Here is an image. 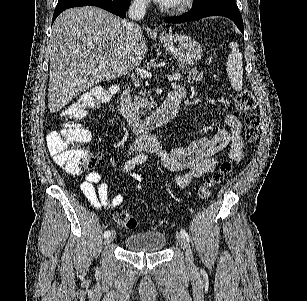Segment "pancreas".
I'll list each match as a JSON object with an SVG mask.
<instances>
[{
    "label": "pancreas",
    "mask_w": 307,
    "mask_h": 301,
    "mask_svg": "<svg viewBox=\"0 0 307 301\" xmlns=\"http://www.w3.org/2000/svg\"><path fill=\"white\" fill-rule=\"evenodd\" d=\"M176 72L181 74L178 80H187V82H198V80H203V72H200L197 68L179 66V68H176ZM134 104L136 108H139L138 112L144 114L145 110H151L155 102L149 100V90H138L137 94H135Z\"/></svg>",
    "instance_id": "cf45deb5"
}]
</instances>
